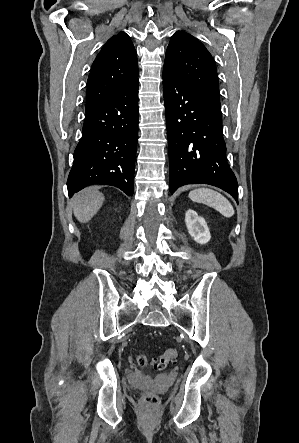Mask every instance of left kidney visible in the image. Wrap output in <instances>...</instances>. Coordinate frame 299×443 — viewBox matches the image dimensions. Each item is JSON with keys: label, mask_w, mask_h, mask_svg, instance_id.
<instances>
[{"label": "left kidney", "mask_w": 299, "mask_h": 443, "mask_svg": "<svg viewBox=\"0 0 299 443\" xmlns=\"http://www.w3.org/2000/svg\"><path fill=\"white\" fill-rule=\"evenodd\" d=\"M185 223L188 233L199 244H206L211 239L209 228L204 218L198 216L194 210H187Z\"/></svg>", "instance_id": "5707ae66"}]
</instances>
